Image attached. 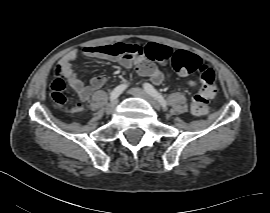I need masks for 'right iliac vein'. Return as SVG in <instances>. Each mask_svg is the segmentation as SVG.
<instances>
[{
	"label": "right iliac vein",
	"mask_w": 270,
	"mask_h": 213,
	"mask_svg": "<svg viewBox=\"0 0 270 213\" xmlns=\"http://www.w3.org/2000/svg\"><path fill=\"white\" fill-rule=\"evenodd\" d=\"M117 102V100L110 102L106 107V113L111 114L112 112H114Z\"/></svg>",
	"instance_id": "63e3f726"
}]
</instances>
